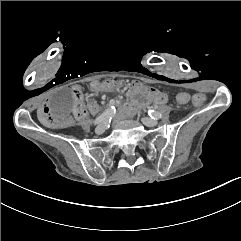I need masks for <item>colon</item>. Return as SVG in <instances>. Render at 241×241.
Wrapping results in <instances>:
<instances>
[{"label": "colon", "mask_w": 241, "mask_h": 241, "mask_svg": "<svg viewBox=\"0 0 241 241\" xmlns=\"http://www.w3.org/2000/svg\"><path fill=\"white\" fill-rule=\"evenodd\" d=\"M80 88H75L72 96L75 98L76 101V109L72 112V117L81 121L83 117L86 115L85 106V99L84 96L81 94ZM176 100L181 106H186L190 102V95L185 92H179L176 95ZM193 103L196 106H201L205 103V96L203 94H196L193 98Z\"/></svg>", "instance_id": "colon-1"}]
</instances>
